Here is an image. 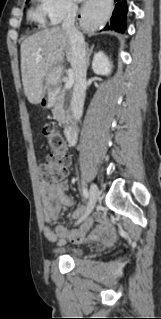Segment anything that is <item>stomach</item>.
I'll use <instances>...</instances> for the list:
<instances>
[{"label": "stomach", "instance_id": "obj_1", "mask_svg": "<svg viewBox=\"0 0 161 319\" xmlns=\"http://www.w3.org/2000/svg\"><path fill=\"white\" fill-rule=\"evenodd\" d=\"M60 75H61L60 68L52 69L45 79V83H46L45 88L55 85L58 82Z\"/></svg>", "mask_w": 161, "mask_h": 319}]
</instances>
